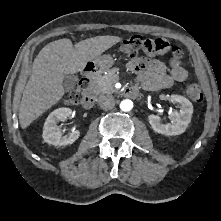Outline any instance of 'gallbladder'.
I'll list each match as a JSON object with an SVG mask.
<instances>
[{
  "label": "gallbladder",
  "mask_w": 221,
  "mask_h": 221,
  "mask_svg": "<svg viewBox=\"0 0 221 221\" xmlns=\"http://www.w3.org/2000/svg\"><path fill=\"white\" fill-rule=\"evenodd\" d=\"M77 76L74 74H65L63 80V87L66 91H69L74 88V85L77 82Z\"/></svg>",
  "instance_id": "gallbladder-1"
}]
</instances>
